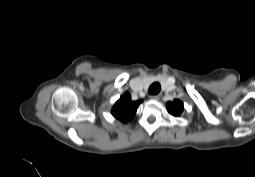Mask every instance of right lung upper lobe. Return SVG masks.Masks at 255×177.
<instances>
[{
	"instance_id": "cb5924a9",
	"label": "right lung upper lobe",
	"mask_w": 255,
	"mask_h": 177,
	"mask_svg": "<svg viewBox=\"0 0 255 177\" xmlns=\"http://www.w3.org/2000/svg\"><path fill=\"white\" fill-rule=\"evenodd\" d=\"M142 100L132 101L128 92L120 97L115 103L111 111L112 115L119 119L121 122L126 123L130 121Z\"/></svg>"
}]
</instances>
